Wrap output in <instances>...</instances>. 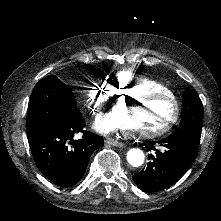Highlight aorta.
<instances>
[{
    "mask_svg": "<svg viewBox=\"0 0 221 221\" xmlns=\"http://www.w3.org/2000/svg\"><path fill=\"white\" fill-rule=\"evenodd\" d=\"M127 161L133 167H140L144 163L145 155L141 149L132 148L127 152Z\"/></svg>",
    "mask_w": 221,
    "mask_h": 221,
    "instance_id": "762f6f07",
    "label": "aorta"
}]
</instances>
